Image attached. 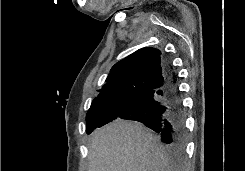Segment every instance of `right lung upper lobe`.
I'll return each instance as SVG.
<instances>
[{"label":"right lung upper lobe","instance_id":"obj_1","mask_svg":"<svg viewBox=\"0 0 245 171\" xmlns=\"http://www.w3.org/2000/svg\"><path fill=\"white\" fill-rule=\"evenodd\" d=\"M164 64L165 58L158 49L137 50L112 67L106 84L93 102L113 97L130 99L161 88L166 82Z\"/></svg>","mask_w":245,"mask_h":171}]
</instances>
